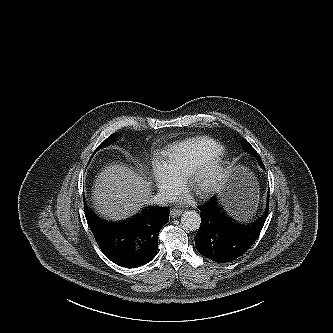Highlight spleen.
I'll return each instance as SVG.
<instances>
[{"label": "spleen", "mask_w": 333, "mask_h": 333, "mask_svg": "<svg viewBox=\"0 0 333 333\" xmlns=\"http://www.w3.org/2000/svg\"><path fill=\"white\" fill-rule=\"evenodd\" d=\"M254 191L256 192L255 194H254V197L258 200V198H259V195H258V188H254ZM255 210H256V208L252 211V213H250V214H248V213H245V214H243V216L241 217V219L240 220H243V221H247L248 219H250L252 216H253V214L255 213Z\"/></svg>", "instance_id": "obj_1"}]
</instances>
